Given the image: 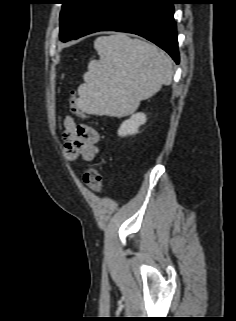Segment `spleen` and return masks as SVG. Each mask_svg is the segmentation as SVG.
Segmentation results:
<instances>
[{
	"label": "spleen",
	"instance_id": "3e777b00",
	"mask_svg": "<svg viewBox=\"0 0 236 321\" xmlns=\"http://www.w3.org/2000/svg\"><path fill=\"white\" fill-rule=\"evenodd\" d=\"M94 47L100 60L90 61L78 87L77 104L85 113L128 115L172 83V59L155 45L115 34L97 38Z\"/></svg>",
	"mask_w": 236,
	"mask_h": 321
}]
</instances>
